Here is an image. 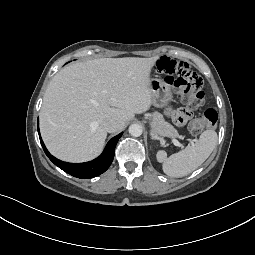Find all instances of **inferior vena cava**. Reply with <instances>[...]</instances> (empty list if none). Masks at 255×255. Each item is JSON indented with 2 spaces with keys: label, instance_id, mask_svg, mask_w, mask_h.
<instances>
[{
  "label": "inferior vena cava",
  "instance_id": "obj_1",
  "mask_svg": "<svg viewBox=\"0 0 255 255\" xmlns=\"http://www.w3.org/2000/svg\"><path fill=\"white\" fill-rule=\"evenodd\" d=\"M104 127L109 133L117 132L121 129L122 122L116 118H110L104 122Z\"/></svg>",
  "mask_w": 255,
  "mask_h": 255
}]
</instances>
